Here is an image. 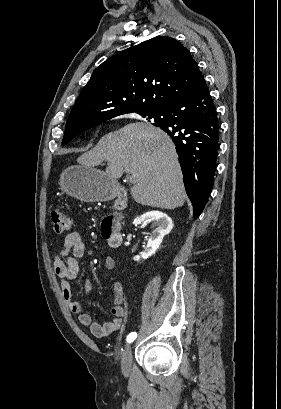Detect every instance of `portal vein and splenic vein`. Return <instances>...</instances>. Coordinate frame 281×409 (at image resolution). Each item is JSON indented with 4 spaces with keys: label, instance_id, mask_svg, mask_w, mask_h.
Here are the masks:
<instances>
[{
    "label": "portal vein and splenic vein",
    "instance_id": "portal-vein-and-splenic-vein-1",
    "mask_svg": "<svg viewBox=\"0 0 281 409\" xmlns=\"http://www.w3.org/2000/svg\"><path fill=\"white\" fill-rule=\"evenodd\" d=\"M126 181L128 185H135L137 180L135 176H128Z\"/></svg>",
    "mask_w": 281,
    "mask_h": 409
}]
</instances>
